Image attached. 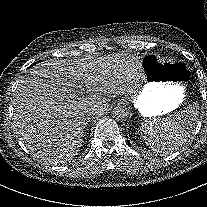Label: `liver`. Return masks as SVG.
<instances>
[{
  "mask_svg": "<svg viewBox=\"0 0 207 207\" xmlns=\"http://www.w3.org/2000/svg\"><path fill=\"white\" fill-rule=\"evenodd\" d=\"M94 74V67L86 63L46 61L21 78L13 97V131L30 151L80 150L86 116L93 115L97 105L85 98L81 87L88 84L96 89Z\"/></svg>",
  "mask_w": 207,
  "mask_h": 207,
  "instance_id": "6515ba94",
  "label": "liver"
}]
</instances>
